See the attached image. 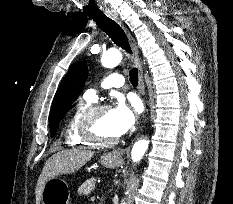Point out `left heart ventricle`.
<instances>
[{
  "instance_id": "left-heart-ventricle-1",
  "label": "left heart ventricle",
  "mask_w": 233,
  "mask_h": 204,
  "mask_svg": "<svg viewBox=\"0 0 233 204\" xmlns=\"http://www.w3.org/2000/svg\"><path fill=\"white\" fill-rule=\"evenodd\" d=\"M96 132L103 138H117L118 135L114 130L110 110L103 111L97 118Z\"/></svg>"
}]
</instances>
